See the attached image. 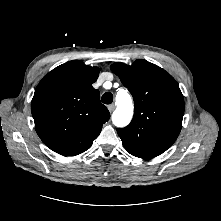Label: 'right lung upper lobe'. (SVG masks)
Masks as SVG:
<instances>
[{
  "instance_id": "1",
  "label": "right lung upper lobe",
  "mask_w": 221,
  "mask_h": 221,
  "mask_svg": "<svg viewBox=\"0 0 221 221\" xmlns=\"http://www.w3.org/2000/svg\"><path fill=\"white\" fill-rule=\"evenodd\" d=\"M98 67L69 61L49 72L37 86L31 102L35 129L43 143L63 156L89 149L110 118L92 87Z\"/></svg>"
}]
</instances>
